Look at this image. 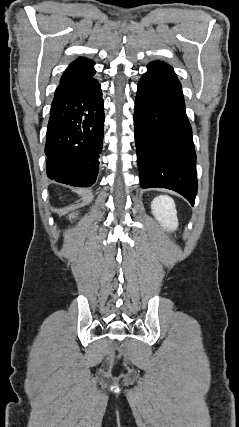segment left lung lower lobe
<instances>
[{
  "mask_svg": "<svg viewBox=\"0 0 239 427\" xmlns=\"http://www.w3.org/2000/svg\"><path fill=\"white\" fill-rule=\"evenodd\" d=\"M134 125L141 188L171 189L193 205L197 178L192 129L181 84L169 65L152 62L139 80Z\"/></svg>",
  "mask_w": 239,
  "mask_h": 427,
  "instance_id": "1",
  "label": "left lung lower lobe"
}]
</instances>
